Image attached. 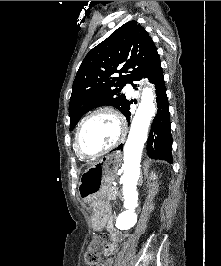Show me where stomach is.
I'll use <instances>...</instances> for the list:
<instances>
[{"label": "stomach", "instance_id": "obj_1", "mask_svg": "<svg viewBox=\"0 0 221 266\" xmlns=\"http://www.w3.org/2000/svg\"><path fill=\"white\" fill-rule=\"evenodd\" d=\"M120 163V155L112 153L104 156L82 174L78 192L81 200L93 209L92 225L97 228L106 220L108 204L106 193L111 186Z\"/></svg>", "mask_w": 221, "mask_h": 266}]
</instances>
